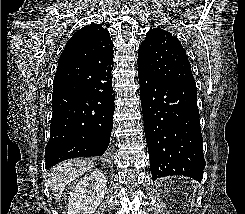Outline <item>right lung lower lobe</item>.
Returning a JSON list of instances; mask_svg holds the SVG:
<instances>
[{
  "label": "right lung lower lobe",
  "mask_w": 245,
  "mask_h": 214,
  "mask_svg": "<svg viewBox=\"0 0 245 214\" xmlns=\"http://www.w3.org/2000/svg\"><path fill=\"white\" fill-rule=\"evenodd\" d=\"M113 64L96 68L84 89H53L46 169L76 157L101 156L107 150L115 111Z\"/></svg>",
  "instance_id": "right-lung-lower-lobe-1"
}]
</instances>
